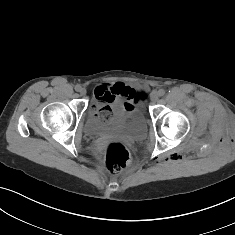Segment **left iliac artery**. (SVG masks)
Listing matches in <instances>:
<instances>
[{
	"label": "left iliac artery",
	"mask_w": 235,
	"mask_h": 235,
	"mask_svg": "<svg viewBox=\"0 0 235 235\" xmlns=\"http://www.w3.org/2000/svg\"><path fill=\"white\" fill-rule=\"evenodd\" d=\"M158 94H159V96H164L165 90H164V89H160V90L158 91Z\"/></svg>",
	"instance_id": "left-iliac-artery-1"
}]
</instances>
